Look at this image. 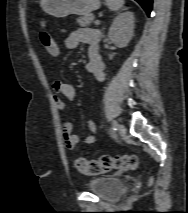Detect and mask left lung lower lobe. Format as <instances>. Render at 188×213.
I'll return each mask as SVG.
<instances>
[{
  "label": "left lung lower lobe",
  "instance_id": "1",
  "mask_svg": "<svg viewBox=\"0 0 188 213\" xmlns=\"http://www.w3.org/2000/svg\"><path fill=\"white\" fill-rule=\"evenodd\" d=\"M146 11L147 15H150L152 10V0H136Z\"/></svg>",
  "mask_w": 188,
  "mask_h": 213
}]
</instances>
